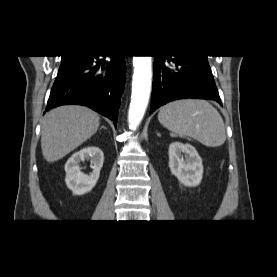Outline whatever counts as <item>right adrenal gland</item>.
<instances>
[{
	"label": "right adrenal gland",
	"instance_id": "2a0ac1e0",
	"mask_svg": "<svg viewBox=\"0 0 277 277\" xmlns=\"http://www.w3.org/2000/svg\"><path fill=\"white\" fill-rule=\"evenodd\" d=\"M102 128L106 129V127H104V126H101V129H102Z\"/></svg>",
	"mask_w": 277,
	"mask_h": 277
}]
</instances>
